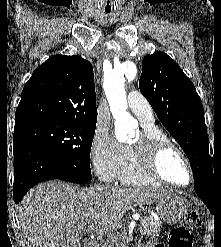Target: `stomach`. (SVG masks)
Segmentation results:
<instances>
[{"instance_id": "obj_1", "label": "stomach", "mask_w": 221, "mask_h": 247, "mask_svg": "<svg viewBox=\"0 0 221 247\" xmlns=\"http://www.w3.org/2000/svg\"><path fill=\"white\" fill-rule=\"evenodd\" d=\"M189 203L181 196L171 195L157 203L160 217L169 223L179 222L189 211Z\"/></svg>"}]
</instances>
